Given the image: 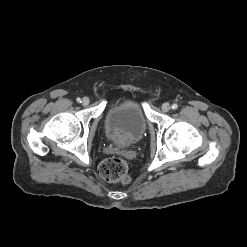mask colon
Here are the masks:
<instances>
[{
    "instance_id": "1",
    "label": "colon",
    "mask_w": 247,
    "mask_h": 247,
    "mask_svg": "<svg viewBox=\"0 0 247 247\" xmlns=\"http://www.w3.org/2000/svg\"><path fill=\"white\" fill-rule=\"evenodd\" d=\"M98 173L101 178L108 182H120L123 184L130 182L128 165L121 158L112 157L103 160L98 167Z\"/></svg>"
}]
</instances>
